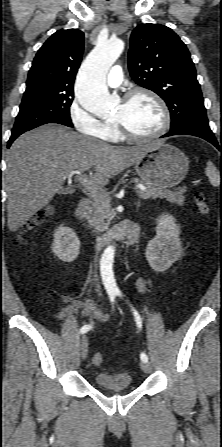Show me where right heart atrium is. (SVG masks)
<instances>
[{
	"label": "right heart atrium",
	"mask_w": 222,
	"mask_h": 447,
	"mask_svg": "<svg viewBox=\"0 0 222 447\" xmlns=\"http://www.w3.org/2000/svg\"><path fill=\"white\" fill-rule=\"evenodd\" d=\"M69 117L74 128L82 134L97 136L101 130V122L84 110L80 99L71 105Z\"/></svg>",
	"instance_id": "right-heart-atrium-1"
}]
</instances>
